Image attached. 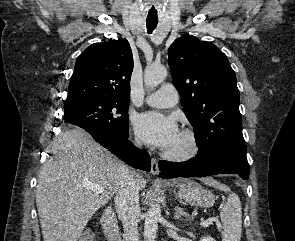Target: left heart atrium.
I'll return each instance as SVG.
<instances>
[{"label": "left heart atrium", "instance_id": "39dd6f15", "mask_svg": "<svg viewBox=\"0 0 295 241\" xmlns=\"http://www.w3.org/2000/svg\"><path fill=\"white\" fill-rule=\"evenodd\" d=\"M134 128L145 143L161 149L170 148L180 134L174 119L157 112L137 115Z\"/></svg>", "mask_w": 295, "mask_h": 241}]
</instances>
